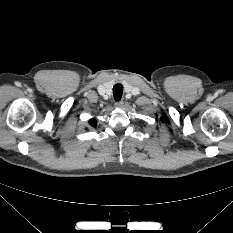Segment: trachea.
Instances as JSON below:
<instances>
[{"mask_svg":"<svg viewBox=\"0 0 233 233\" xmlns=\"http://www.w3.org/2000/svg\"><path fill=\"white\" fill-rule=\"evenodd\" d=\"M123 94V86L121 84H115L113 87V95L115 101H120Z\"/></svg>","mask_w":233,"mask_h":233,"instance_id":"1","label":"trachea"}]
</instances>
